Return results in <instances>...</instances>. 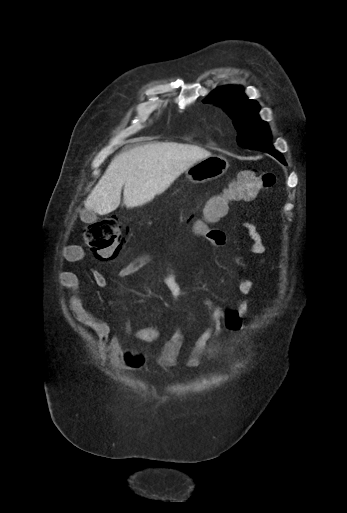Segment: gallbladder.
Here are the masks:
<instances>
[{"label":"gallbladder","mask_w":347,"mask_h":513,"mask_svg":"<svg viewBox=\"0 0 347 513\" xmlns=\"http://www.w3.org/2000/svg\"><path fill=\"white\" fill-rule=\"evenodd\" d=\"M81 215L86 223H92L97 220L96 214L91 211H84Z\"/></svg>","instance_id":"bac80fb5"}]
</instances>
